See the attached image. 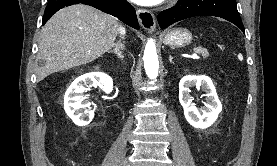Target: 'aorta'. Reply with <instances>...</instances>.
I'll use <instances>...</instances> for the list:
<instances>
[{"instance_id":"1","label":"aorta","mask_w":277,"mask_h":166,"mask_svg":"<svg viewBox=\"0 0 277 166\" xmlns=\"http://www.w3.org/2000/svg\"><path fill=\"white\" fill-rule=\"evenodd\" d=\"M143 59L147 76L150 79H156L158 76L159 62L155 41L152 38H150L146 44Z\"/></svg>"}]
</instances>
